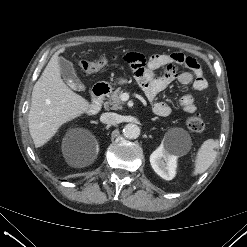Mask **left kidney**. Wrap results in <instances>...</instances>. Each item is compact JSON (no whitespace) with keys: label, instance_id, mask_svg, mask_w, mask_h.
Returning <instances> with one entry per match:
<instances>
[{"label":"left kidney","instance_id":"left-kidney-1","mask_svg":"<svg viewBox=\"0 0 247 247\" xmlns=\"http://www.w3.org/2000/svg\"><path fill=\"white\" fill-rule=\"evenodd\" d=\"M177 158L175 150L163 143L150 156L153 170L163 179L172 180L176 174Z\"/></svg>","mask_w":247,"mask_h":247}]
</instances>
